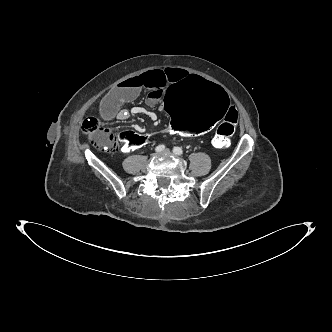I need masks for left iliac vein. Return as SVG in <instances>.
I'll list each match as a JSON object with an SVG mask.
<instances>
[{
    "label": "left iliac vein",
    "mask_w": 332,
    "mask_h": 332,
    "mask_svg": "<svg viewBox=\"0 0 332 332\" xmlns=\"http://www.w3.org/2000/svg\"><path fill=\"white\" fill-rule=\"evenodd\" d=\"M163 153L170 154L171 151L169 149H165V150H163Z\"/></svg>",
    "instance_id": "left-iliac-vein-1"
}]
</instances>
